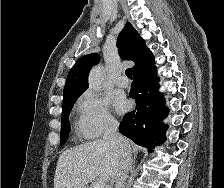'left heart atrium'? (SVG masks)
<instances>
[{
    "label": "left heart atrium",
    "mask_w": 224,
    "mask_h": 188,
    "mask_svg": "<svg viewBox=\"0 0 224 188\" xmlns=\"http://www.w3.org/2000/svg\"><path fill=\"white\" fill-rule=\"evenodd\" d=\"M114 107L119 113H124L129 110L130 103L123 95H118L114 100Z\"/></svg>",
    "instance_id": "left-heart-atrium-1"
}]
</instances>
